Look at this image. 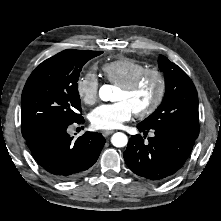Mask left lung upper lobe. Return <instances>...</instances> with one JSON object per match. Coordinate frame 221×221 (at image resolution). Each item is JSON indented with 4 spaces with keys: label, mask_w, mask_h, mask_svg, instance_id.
Segmentation results:
<instances>
[{
    "label": "left lung upper lobe",
    "mask_w": 221,
    "mask_h": 221,
    "mask_svg": "<svg viewBox=\"0 0 221 221\" xmlns=\"http://www.w3.org/2000/svg\"><path fill=\"white\" fill-rule=\"evenodd\" d=\"M158 65L165 73L166 93L161 105L141 125L148 129L174 130L196 140L199 135L198 95L188 75L160 55Z\"/></svg>",
    "instance_id": "left-lung-upper-lobe-1"
}]
</instances>
